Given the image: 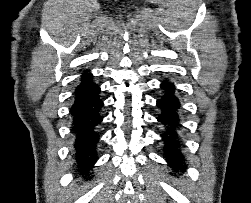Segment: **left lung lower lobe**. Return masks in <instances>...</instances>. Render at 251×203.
Instances as JSON below:
<instances>
[{"label": "left lung lower lobe", "instance_id": "left-lung-lower-lobe-1", "mask_svg": "<svg viewBox=\"0 0 251 203\" xmlns=\"http://www.w3.org/2000/svg\"><path fill=\"white\" fill-rule=\"evenodd\" d=\"M160 88L163 90V95L157 100V107L161 111L157 120L164 126V131L161 133L164 141V155L172 169L185 171L184 156L180 149L181 141L178 134L181 127L180 100L176 95L173 83L166 80L161 83Z\"/></svg>", "mask_w": 251, "mask_h": 203}]
</instances>
